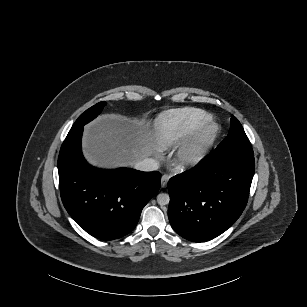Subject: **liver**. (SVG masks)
I'll return each instance as SVG.
<instances>
[{
    "mask_svg": "<svg viewBox=\"0 0 307 307\" xmlns=\"http://www.w3.org/2000/svg\"><path fill=\"white\" fill-rule=\"evenodd\" d=\"M147 114L141 119L120 114H102L85 127L82 147L94 166L133 167L156 153Z\"/></svg>",
    "mask_w": 307,
    "mask_h": 307,
    "instance_id": "1",
    "label": "liver"
}]
</instances>
